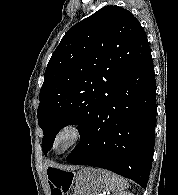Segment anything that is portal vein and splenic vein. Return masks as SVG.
<instances>
[{"instance_id": "18ae733b", "label": "portal vein and splenic vein", "mask_w": 178, "mask_h": 195, "mask_svg": "<svg viewBox=\"0 0 178 195\" xmlns=\"http://www.w3.org/2000/svg\"><path fill=\"white\" fill-rule=\"evenodd\" d=\"M100 195H106L105 193H103V194H100Z\"/></svg>"}]
</instances>
